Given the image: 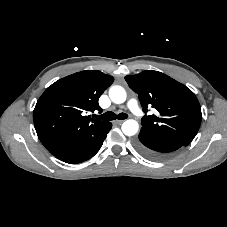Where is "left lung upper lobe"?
<instances>
[{
  "label": "left lung upper lobe",
  "mask_w": 227,
  "mask_h": 227,
  "mask_svg": "<svg viewBox=\"0 0 227 227\" xmlns=\"http://www.w3.org/2000/svg\"><path fill=\"white\" fill-rule=\"evenodd\" d=\"M130 88L139 95L143 111L148 107L157 115L141 119L142 131L176 140L187 146L201 124V107L195 94L185 85L158 71L126 76Z\"/></svg>",
  "instance_id": "obj_1"
}]
</instances>
